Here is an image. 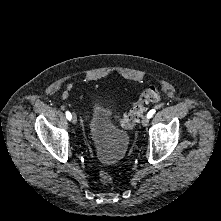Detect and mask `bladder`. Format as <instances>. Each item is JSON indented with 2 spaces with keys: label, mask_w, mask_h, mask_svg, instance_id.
<instances>
[{
  "label": "bladder",
  "mask_w": 221,
  "mask_h": 221,
  "mask_svg": "<svg viewBox=\"0 0 221 221\" xmlns=\"http://www.w3.org/2000/svg\"><path fill=\"white\" fill-rule=\"evenodd\" d=\"M91 142L100 160L107 166L121 161L130 144L128 133L117 129L111 122L110 110L101 103H95L90 115Z\"/></svg>",
  "instance_id": "31cf9c89"
}]
</instances>
